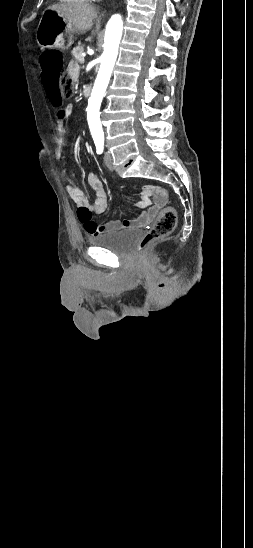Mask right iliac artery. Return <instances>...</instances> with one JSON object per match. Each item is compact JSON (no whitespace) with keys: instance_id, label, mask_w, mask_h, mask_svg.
I'll list each match as a JSON object with an SVG mask.
<instances>
[{"instance_id":"right-iliac-artery-1","label":"right iliac artery","mask_w":253,"mask_h":548,"mask_svg":"<svg viewBox=\"0 0 253 548\" xmlns=\"http://www.w3.org/2000/svg\"><path fill=\"white\" fill-rule=\"evenodd\" d=\"M95 145H96L97 153L101 154L103 152V149H104V142L103 141H97V142H95Z\"/></svg>"}]
</instances>
